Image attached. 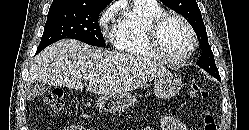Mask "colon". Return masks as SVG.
<instances>
[{
    "label": "colon",
    "mask_w": 249,
    "mask_h": 130,
    "mask_svg": "<svg viewBox=\"0 0 249 130\" xmlns=\"http://www.w3.org/2000/svg\"><path fill=\"white\" fill-rule=\"evenodd\" d=\"M189 92L192 96L200 98L202 102L208 99L207 90L197 81H193L189 86ZM44 104L55 110L60 111L65 104V94L62 89H53L43 97ZM204 130H217V126L210 111L203 109Z\"/></svg>",
    "instance_id": "1"
}]
</instances>
